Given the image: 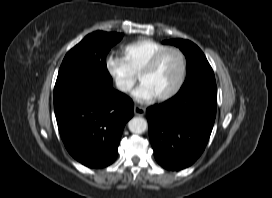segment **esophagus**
<instances>
[{
	"instance_id": "1",
	"label": "esophagus",
	"mask_w": 272,
	"mask_h": 198,
	"mask_svg": "<svg viewBox=\"0 0 272 198\" xmlns=\"http://www.w3.org/2000/svg\"><path fill=\"white\" fill-rule=\"evenodd\" d=\"M145 108L141 107V106H138V105H135L134 106V113L135 115L137 116H143L145 114Z\"/></svg>"
}]
</instances>
